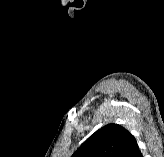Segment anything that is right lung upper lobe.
Returning <instances> with one entry per match:
<instances>
[{
    "instance_id": "1",
    "label": "right lung upper lobe",
    "mask_w": 164,
    "mask_h": 157,
    "mask_svg": "<svg viewBox=\"0 0 164 157\" xmlns=\"http://www.w3.org/2000/svg\"><path fill=\"white\" fill-rule=\"evenodd\" d=\"M137 145L134 136L117 124H107L92 134L71 157H128Z\"/></svg>"
}]
</instances>
